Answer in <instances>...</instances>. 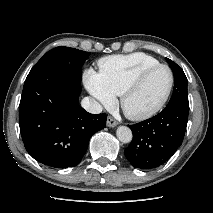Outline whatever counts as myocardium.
<instances>
[{
	"instance_id": "obj_1",
	"label": "myocardium",
	"mask_w": 213,
	"mask_h": 213,
	"mask_svg": "<svg viewBox=\"0 0 213 213\" xmlns=\"http://www.w3.org/2000/svg\"><path fill=\"white\" fill-rule=\"evenodd\" d=\"M160 68L166 69L169 72V76H170L168 88H167L165 94L163 95V97L160 99V101L158 103H156L153 107H151L143 112L132 113V112L127 111L125 108V102H126L127 98L129 97V95L138 88V86L142 83V81L146 78L147 75H149L151 72H153L157 69H160ZM173 86H174V73L168 65L158 63L156 65L147 67V68L143 69L141 72H139L124 87V89L122 90V92L119 95L120 106H121L122 110L124 111V113L126 114V116L132 120L140 121V120L148 119V118L152 117L153 115H155L157 112H159L162 109V107L166 104V102L168 101V99L171 95V92L173 90Z\"/></svg>"
}]
</instances>
